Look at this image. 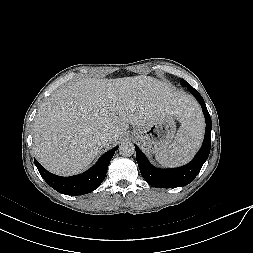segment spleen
I'll use <instances>...</instances> for the list:
<instances>
[{
  "instance_id": "spleen-1",
  "label": "spleen",
  "mask_w": 253,
  "mask_h": 253,
  "mask_svg": "<svg viewBox=\"0 0 253 253\" xmlns=\"http://www.w3.org/2000/svg\"><path fill=\"white\" fill-rule=\"evenodd\" d=\"M204 133L202 114L193 104L187 109L174 142L155 155L159 164L177 167L188 163L199 149Z\"/></svg>"
}]
</instances>
